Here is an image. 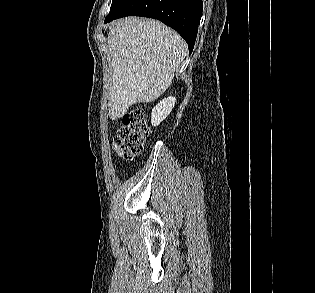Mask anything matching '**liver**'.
Masks as SVG:
<instances>
[{
  "label": "liver",
  "instance_id": "6515ba94",
  "mask_svg": "<svg viewBox=\"0 0 315 293\" xmlns=\"http://www.w3.org/2000/svg\"><path fill=\"white\" fill-rule=\"evenodd\" d=\"M113 87L108 115L122 118L134 103L157 99L171 85L187 44L159 21L129 17L110 27Z\"/></svg>",
  "mask_w": 315,
  "mask_h": 293
}]
</instances>
